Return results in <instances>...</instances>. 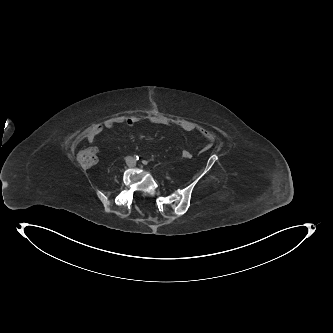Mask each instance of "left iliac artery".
I'll return each instance as SVG.
<instances>
[{
	"label": "left iliac artery",
	"mask_w": 333,
	"mask_h": 333,
	"mask_svg": "<svg viewBox=\"0 0 333 333\" xmlns=\"http://www.w3.org/2000/svg\"><path fill=\"white\" fill-rule=\"evenodd\" d=\"M143 164L147 165V164H148V162L144 160V161H143Z\"/></svg>",
	"instance_id": "44dca946"
}]
</instances>
